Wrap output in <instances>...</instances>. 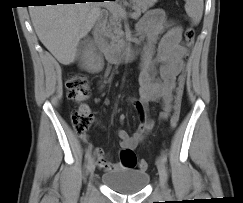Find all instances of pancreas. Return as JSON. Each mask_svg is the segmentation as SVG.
Masks as SVG:
<instances>
[{"mask_svg": "<svg viewBox=\"0 0 243 203\" xmlns=\"http://www.w3.org/2000/svg\"><path fill=\"white\" fill-rule=\"evenodd\" d=\"M157 0H130L129 6L135 11L137 17L141 16V13H145L150 7H152ZM121 6V5H120ZM120 16L117 12L110 11L109 19L103 26V33L108 39H110L111 47H120L124 44Z\"/></svg>", "mask_w": 243, "mask_h": 203, "instance_id": "cf45deb5", "label": "pancreas"}]
</instances>
